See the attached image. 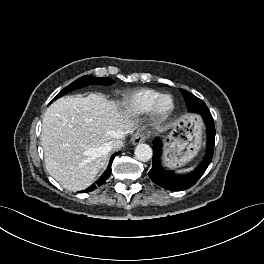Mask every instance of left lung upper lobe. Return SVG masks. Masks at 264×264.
<instances>
[{
  "label": "left lung upper lobe",
  "instance_id": "1",
  "mask_svg": "<svg viewBox=\"0 0 264 264\" xmlns=\"http://www.w3.org/2000/svg\"><path fill=\"white\" fill-rule=\"evenodd\" d=\"M180 91L183 94L188 111L201 113L204 110H208V107L201 99L197 98L196 96L184 89H180Z\"/></svg>",
  "mask_w": 264,
  "mask_h": 264
}]
</instances>
